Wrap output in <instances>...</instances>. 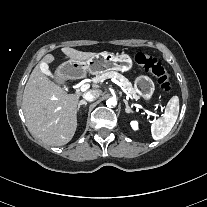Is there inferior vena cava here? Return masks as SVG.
Returning <instances> with one entry per match:
<instances>
[{"mask_svg": "<svg viewBox=\"0 0 207 207\" xmlns=\"http://www.w3.org/2000/svg\"><path fill=\"white\" fill-rule=\"evenodd\" d=\"M86 100L89 101V102H92V101L95 100V98H94V96H91L90 98H87ZM81 103L87 104L86 102H83V101Z\"/></svg>", "mask_w": 207, "mask_h": 207, "instance_id": "obj_1", "label": "inferior vena cava"}]
</instances>
